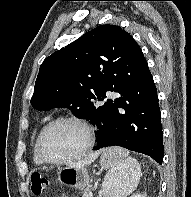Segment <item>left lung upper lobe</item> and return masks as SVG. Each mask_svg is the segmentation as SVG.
Instances as JSON below:
<instances>
[{
	"label": "left lung upper lobe",
	"mask_w": 191,
	"mask_h": 197,
	"mask_svg": "<svg viewBox=\"0 0 191 197\" xmlns=\"http://www.w3.org/2000/svg\"><path fill=\"white\" fill-rule=\"evenodd\" d=\"M148 67L132 36L119 26L100 25L47 57L39 69L31 105L48 111L66 107L91 120L105 91L118 86L128 70Z\"/></svg>",
	"instance_id": "1"
}]
</instances>
